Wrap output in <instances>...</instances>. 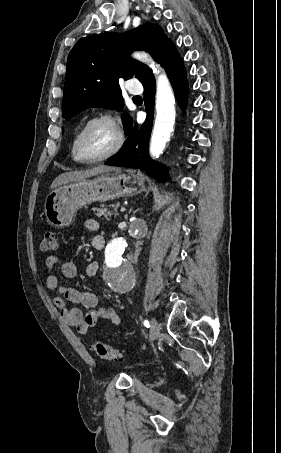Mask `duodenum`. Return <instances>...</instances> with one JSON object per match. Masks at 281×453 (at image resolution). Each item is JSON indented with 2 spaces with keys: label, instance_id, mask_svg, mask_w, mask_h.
<instances>
[{
  "label": "duodenum",
  "instance_id": "obj_1",
  "mask_svg": "<svg viewBox=\"0 0 281 453\" xmlns=\"http://www.w3.org/2000/svg\"><path fill=\"white\" fill-rule=\"evenodd\" d=\"M104 245H105V241L104 240L100 241V243L98 244V249H103Z\"/></svg>",
  "mask_w": 281,
  "mask_h": 453
}]
</instances>
